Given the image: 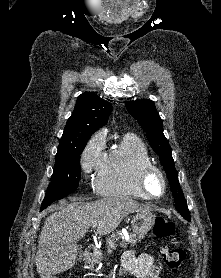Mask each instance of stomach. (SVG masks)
Listing matches in <instances>:
<instances>
[{"label": "stomach", "mask_w": 221, "mask_h": 278, "mask_svg": "<svg viewBox=\"0 0 221 278\" xmlns=\"http://www.w3.org/2000/svg\"><path fill=\"white\" fill-rule=\"evenodd\" d=\"M155 223V215L152 212H138L131 221V228L135 235L144 236Z\"/></svg>", "instance_id": "1"}]
</instances>
